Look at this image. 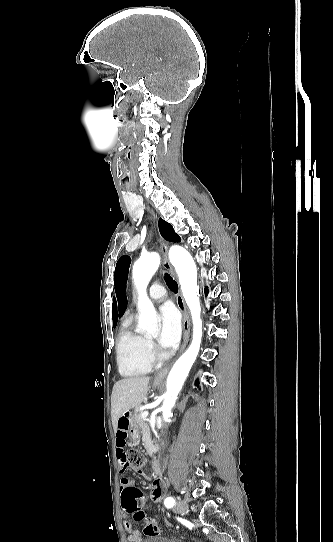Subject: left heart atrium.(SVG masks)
I'll list each match as a JSON object with an SVG mask.
<instances>
[{
    "label": "left heart atrium",
    "instance_id": "obj_1",
    "mask_svg": "<svg viewBox=\"0 0 333 542\" xmlns=\"http://www.w3.org/2000/svg\"><path fill=\"white\" fill-rule=\"evenodd\" d=\"M162 329L158 338L160 347L170 354L175 351L181 334V320L176 308L166 304L161 308Z\"/></svg>",
    "mask_w": 333,
    "mask_h": 542
}]
</instances>
